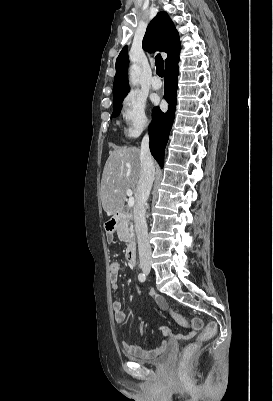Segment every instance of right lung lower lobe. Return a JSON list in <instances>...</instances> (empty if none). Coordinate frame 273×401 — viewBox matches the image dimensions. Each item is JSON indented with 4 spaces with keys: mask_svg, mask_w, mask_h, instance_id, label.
I'll return each instance as SVG.
<instances>
[{
    "mask_svg": "<svg viewBox=\"0 0 273 401\" xmlns=\"http://www.w3.org/2000/svg\"><path fill=\"white\" fill-rule=\"evenodd\" d=\"M178 73V62L166 67L164 98L169 103V108L166 113L161 112L158 107L155 108L149 126L150 151L161 167L164 164V150L175 117Z\"/></svg>",
    "mask_w": 273,
    "mask_h": 401,
    "instance_id": "1",
    "label": "right lung lower lobe"
}]
</instances>
